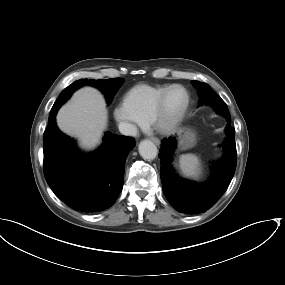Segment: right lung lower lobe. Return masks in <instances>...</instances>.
I'll list each match as a JSON object with an SVG mask.
<instances>
[{"label":"right lung lower lobe","mask_w":285,"mask_h":285,"mask_svg":"<svg viewBox=\"0 0 285 285\" xmlns=\"http://www.w3.org/2000/svg\"><path fill=\"white\" fill-rule=\"evenodd\" d=\"M56 113L43 135L47 183L76 211L94 213L110 208L122 191L125 161L136 142L107 133L98 150L81 153L74 141L58 129Z\"/></svg>","instance_id":"obj_1"}]
</instances>
